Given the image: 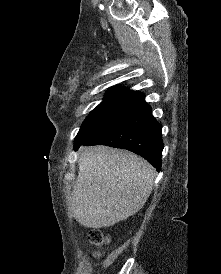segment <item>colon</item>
Returning a JSON list of instances; mask_svg holds the SVG:
<instances>
[{"instance_id":"obj_1","label":"colon","mask_w":221,"mask_h":274,"mask_svg":"<svg viewBox=\"0 0 221 274\" xmlns=\"http://www.w3.org/2000/svg\"><path fill=\"white\" fill-rule=\"evenodd\" d=\"M88 239L96 246H103L109 242L108 236L98 229L91 230L88 234ZM95 255L99 256V253L97 252Z\"/></svg>"}]
</instances>
